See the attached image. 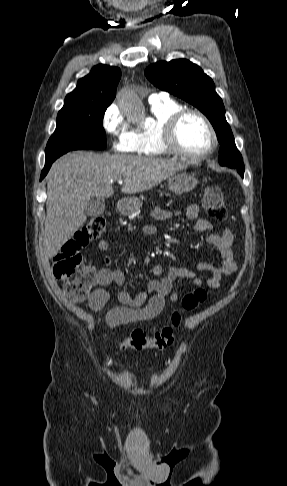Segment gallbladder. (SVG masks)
Instances as JSON below:
<instances>
[{
  "label": "gallbladder",
  "mask_w": 287,
  "mask_h": 486,
  "mask_svg": "<svg viewBox=\"0 0 287 486\" xmlns=\"http://www.w3.org/2000/svg\"><path fill=\"white\" fill-rule=\"evenodd\" d=\"M105 211V204L98 198H92L88 201L85 207L87 216H99Z\"/></svg>",
  "instance_id": "obj_1"
}]
</instances>
